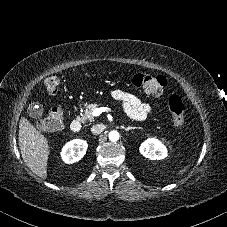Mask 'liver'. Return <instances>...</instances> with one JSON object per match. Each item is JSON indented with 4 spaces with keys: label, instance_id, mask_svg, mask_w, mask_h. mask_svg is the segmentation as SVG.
<instances>
[{
    "label": "liver",
    "instance_id": "liver-1",
    "mask_svg": "<svg viewBox=\"0 0 227 227\" xmlns=\"http://www.w3.org/2000/svg\"><path fill=\"white\" fill-rule=\"evenodd\" d=\"M18 141L21 156L27 167L40 178L47 177L49 145L42 135L27 119L19 123Z\"/></svg>",
    "mask_w": 227,
    "mask_h": 227
}]
</instances>
